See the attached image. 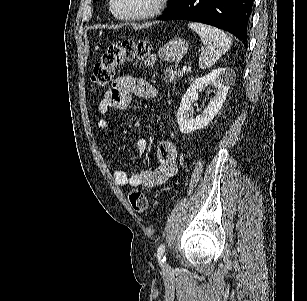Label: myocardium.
Segmentation results:
<instances>
[{"mask_svg": "<svg viewBox=\"0 0 307 301\" xmlns=\"http://www.w3.org/2000/svg\"><path fill=\"white\" fill-rule=\"evenodd\" d=\"M108 12L110 15L116 16V22H139V18H153L159 14L160 9L165 3V0H155L150 11H133L131 8L124 9L123 13H119L117 0H110Z\"/></svg>", "mask_w": 307, "mask_h": 301, "instance_id": "obj_1", "label": "myocardium"}]
</instances>
